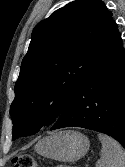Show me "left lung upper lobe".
<instances>
[{"label": "left lung upper lobe", "instance_id": "1", "mask_svg": "<svg viewBox=\"0 0 125 167\" xmlns=\"http://www.w3.org/2000/svg\"><path fill=\"white\" fill-rule=\"evenodd\" d=\"M112 23L103 1L76 0L35 26L10 107L13 139L35 134L58 119Z\"/></svg>", "mask_w": 125, "mask_h": 167}]
</instances>
